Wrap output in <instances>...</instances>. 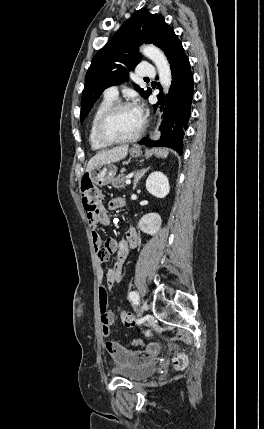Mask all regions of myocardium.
Segmentation results:
<instances>
[{"instance_id":"myocardium-1","label":"myocardium","mask_w":264,"mask_h":429,"mask_svg":"<svg viewBox=\"0 0 264 429\" xmlns=\"http://www.w3.org/2000/svg\"><path fill=\"white\" fill-rule=\"evenodd\" d=\"M133 107V105L126 101H117L111 104L100 116L96 124V136L98 140L106 145L129 143L137 140L144 132L146 121L141 118V124L138 130L127 138H111L105 133V125L109 118L118 110L123 108Z\"/></svg>"}]
</instances>
